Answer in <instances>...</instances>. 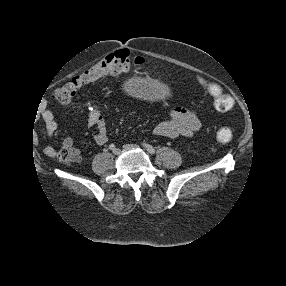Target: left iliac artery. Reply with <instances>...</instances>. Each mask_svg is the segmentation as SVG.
Segmentation results:
<instances>
[{
  "label": "left iliac artery",
  "mask_w": 286,
  "mask_h": 286,
  "mask_svg": "<svg viewBox=\"0 0 286 286\" xmlns=\"http://www.w3.org/2000/svg\"><path fill=\"white\" fill-rule=\"evenodd\" d=\"M143 147L151 154H154L155 153V149L149 145V144H146V143H142Z\"/></svg>",
  "instance_id": "obj_1"
}]
</instances>
